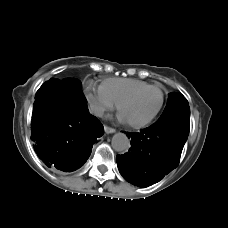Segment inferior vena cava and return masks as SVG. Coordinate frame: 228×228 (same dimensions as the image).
<instances>
[{
	"mask_svg": "<svg viewBox=\"0 0 228 228\" xmlns=\"http://www.w3.org/2000/svg\"><path fill=\"white\" fill-rule=\"evenodd\" d=\"M89 112L98 116V117H102L104 114V108L97 105V104L91 103L89 106Z\"/></svg>",
	"mask_w": 228,
	"mask_h": 228,
	"instance_id": "1",
	"label": "inferior vena cava"
}]
</instances>
